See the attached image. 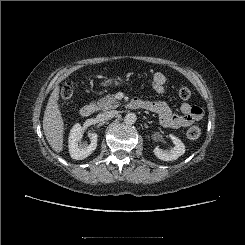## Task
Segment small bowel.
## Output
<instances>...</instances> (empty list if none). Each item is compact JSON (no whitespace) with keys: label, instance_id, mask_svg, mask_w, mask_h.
I'll use <instances>...</instances> for the list:
<instances>
[{"label":"small bowel","instance_id":"small-bowel-1","mask_svg":"<svg viewBox=\"0 0 245 245\" xmlns=\"http://www.w3.org/2000/svg\"><path fill=\"white\" fill-rule=\"evenodd\" d=\"M167 83L166 76L161 72H156L151 79V86L157 93H163ZM143 103L141 108L154 112L159 116L161 125L164 128L178 129L188 127L203 117V109L189 103L180 106L181 115L173 114L169 105L158 100H139Z\"/></svg>","mask_w":245,"mask_h":245}]
</instances>
